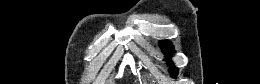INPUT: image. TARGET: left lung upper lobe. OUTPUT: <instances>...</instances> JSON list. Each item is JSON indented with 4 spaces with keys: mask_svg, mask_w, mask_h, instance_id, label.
Masks as SVG:
<instances>
[{
    "mask_svg": "<svg viewBox=\"0 0 260 84\" xmlns=\"http://www.w3.org/2000/svg\"><path fill=\"white\" fill-rule=\"evenodd\" d=\"M160 46L162 47L164 54H166V55L172 54L173 46L170 45L169 42H161ZM168 64L170 65L169 71H170L171 75L173 77H175L177 75V69L173 66V64L170 61H168Z\"/></svg>",
    "mask_w": 260,
    "mask_h": 84,
    "instance_id": "5c2ea615",
    "label": "left lung upper lobe"
}]
</instances>
